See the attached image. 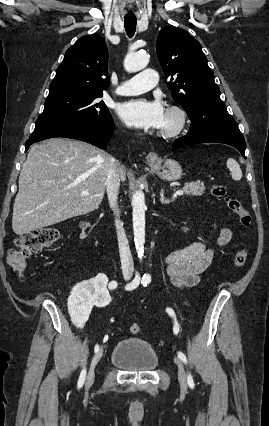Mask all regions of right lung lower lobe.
<instances>
[{
	"mask_svg": "<svg viewBox=\"0 0 269 426\" xmlns=\"http://www.w3.org/2000/svg\"><path fill=\"white\" fill-rule=\"evenodd\" d=\"M113 129L114 122L111 116L100 121H87L68 128L46 132L36 138H29L25 144V151L28 150L31 144L53 137L82 140L103 149L107 146L113 134Z\"/></svg>",
	"mask_w": 269,
	"mask_h": 426,
	"instance_id": "right-lung-lower-lobe-1",
	"label": "right lung lower lobe"
}]
</instances>
